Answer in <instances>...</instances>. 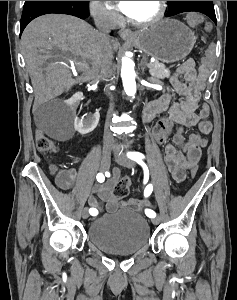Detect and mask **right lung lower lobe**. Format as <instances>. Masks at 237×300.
<instances>
[{
    "mask_svg": "<svg viewBox=\"0 0 237 300\" xmlns=\"http://www.w3.org/2000/svg\"><path fill=\"white\" fill-rule=\"evenodd\" d=\"M87 2L88 1H71L54 3L38 7L28 13L22 14V18L20 21V35L30 21L44 14H68L84 19L89 15Z\"/></svg>",
    "mask_w": 237,
    "mask_h": 300,
    "instance_id": "1",
    "label": "right lung lower lobe"
}]
</instances>
